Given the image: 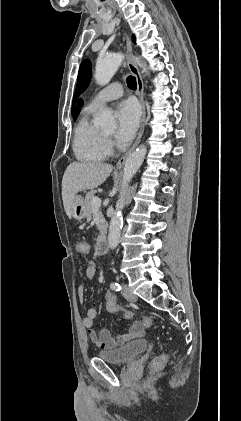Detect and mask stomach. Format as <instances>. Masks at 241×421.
I'll list each match as a JSON object with an SVG mask.
<instances>
[{
    "mask_svg": "<svg viewBox=\"0 0 241 421\" xmlns=\"http://www.w3.org/2000/svg\"><path fill=\"white\" fill-rule=\"evenodd\" d=\"M87 211L85 200L82 196L76 195L71 206V217L75 220L81 221L86 217Z\"/></svg>",
    "mask_w": 241,
    "mask_h": 421,
    "instance_id": "obj_1",
    "label": "stomach"
}]
</instances>
